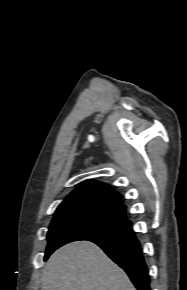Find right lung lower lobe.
I'll return each instance as SVG.
<instances>
[{"mask_svg": "<svg viewBox=\"0 0 187 290\" xmlns=\"http://www.w3.org/2000/svg\"><path fill=\"white\" fill-rule=\"evenodd\" d=\"M88 241L96 243L121 268L138 290H150V276L140 244L129 227L125 230L96 236Z\"/></svg>", "mask_w": 187, "mask_h": 290, "instance_id": "1", "label": "right lung lower lobe"}]
</instances>
